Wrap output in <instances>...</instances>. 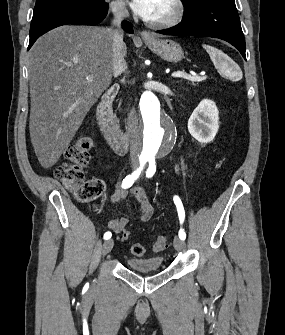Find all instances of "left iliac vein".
<instances>
[{"instance_id":"1","label":"left iliac vein","mask_w":285,"mask_h":335,"mask_svg":"<svg viewBox=\"0 0 285 335\" xmlns=\"http://www.w3.org/2000/svg\"><path fill=\"white\" fill-rule=\"evenodd\" d=\"M174 247L176 251L181 252L185 250V242L178 237L174 238Z\"/></svg>"}]
</instances>
